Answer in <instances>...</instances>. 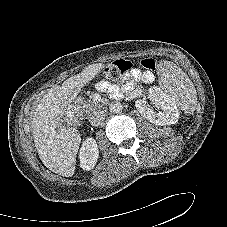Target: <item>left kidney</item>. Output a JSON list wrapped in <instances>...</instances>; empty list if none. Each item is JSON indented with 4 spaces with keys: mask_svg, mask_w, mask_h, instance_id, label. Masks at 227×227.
I'll return each mask as SVG.
<instances>
[{
    "mask_svg": "<svg viewBox=\"0 0 227 227\" xmlns=\"http://www.w3.org/2000/svg\"><path fill=\"white\" fill-rule=\"evenodd\" d=\"M148 98L154 102L156 107L161 111L158 113L155 112L145 99H138L135 102V106L144 118L160 126L177 123L179 118L177 106L167 94L160 88L154 86L149 88Z\"/></svg>",
    "mask_w": 227,
    "mask_h": 227,
    "instance_id": "obj_1",
    "label": "left kidney"
}]
</instances>
